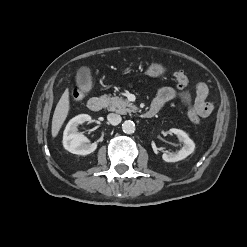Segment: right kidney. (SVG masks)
Segmentation results:
<instances>
[{
    "mask_svg": "<svg viewBox=\"0 0 247 247\" xmlns=\"http://www.w3.org/2000/svg\"><path fill=\"white\" fill-rule=\"evenodd\" d=\"M91 116L80 114L72 118L63 133V146L66 150L77 155H88L97 148V143H88V139L78 132V126L84 122H91Z\"/></svg>",
    "mask_w": 247,
    "mask_h": 247,
    "instance_id": "ca27d5eb",
    "label": "right kidney"
}]
</instances>
